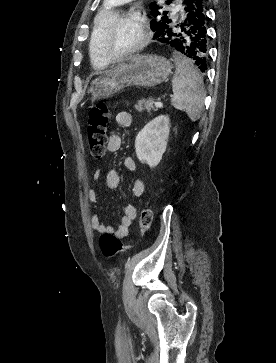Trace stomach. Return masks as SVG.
Wrapping results in <instances>:
<instances>
[{
  "instance_id": "obj_1",
  "label": "stomach",
  "mask_w": 276,
  "mask_h": 363,
  "mask_svg": "<svg viewBox=\"0 0 276 363\" xmlns=\"http://www.w3.org/2000/svg\"><path fill=\"white\" fill-rule=\"evenodd\" d=\"M172 70L169 60L157 55L133 56L92 82V100L107 99L128 86L152 88L163 83Z\"/></svg>"
}]
</instances>
